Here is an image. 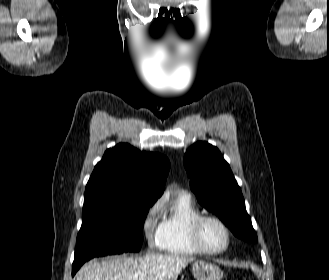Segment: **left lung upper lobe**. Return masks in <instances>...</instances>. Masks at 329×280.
<instances>
[{"mask_svg": "<svg viewBox=\"0 0 329 280\" xmlns=\"http://www.w3.org/2000/svg\"><path fill=\"white\" fill-rule=\"evenodd\" d=\"M184 166L198 202L214 212L235 236L256 242L240 187L220 151L207 142H197L187 150Z\"/></svg>", "mask_w": 329, "mask_h": 280, "instance_id": "obj_1", "label": "left lung upper lobe"}]
</instances>
